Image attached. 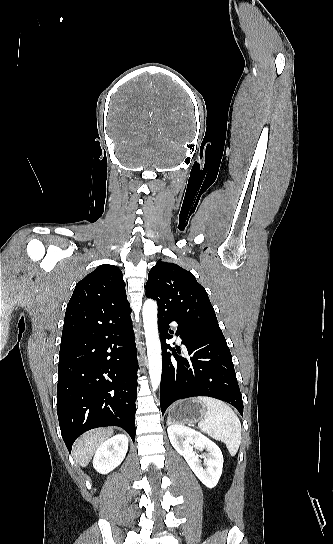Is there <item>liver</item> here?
I'll return each instance as SVG.
<instances>
[{
  "instance_id": "obj_1",
  "label": "liver",
  "mask_w": 333,
  "mask_h": 544,
  "mask_svg": "<svg viewBox=\"0 0 333 544\" xmlns=\"http://www.w3.org/2000/svg\"><path fill=\"white\" fill-rule=\"evenodd\" d=\"M113 434L112 429H96L82 435L74 444L73 456L76 463L86 467L99 446Z\"/></svg>"
}]
</instances>
